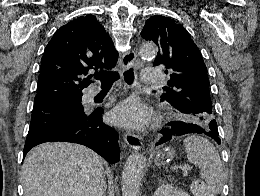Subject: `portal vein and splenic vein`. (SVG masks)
<instances>
[{"instance_id": "obj_1", "label": "portal vein and splenic vein", "mask_w": 260, "mask_h": 196, "mask_svg": "<svg viewBox=\"0 0 260 196\" xmlns=\"http://www.w3.org/2000/svg\"><path fill=\"white\" fill-rule=\"evenodd\" d=\"M178 168H181L184 172V176H186L188 170H191L190 166H178Z\"/></svg>"}]
</instances>
